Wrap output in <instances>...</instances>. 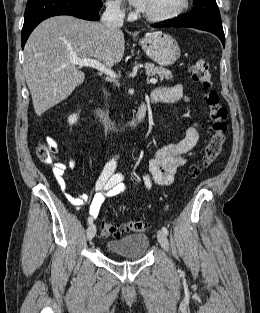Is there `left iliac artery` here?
I'll return each instance as SVG.
<instances>
[{
  "instance_id": "1",
  "label": "left iliac artery",
  "mask_w": 260,
  "mask_h": 313,
  "mask_svg": "<svg viewBox=\"0 0 260 313\" xmlns=\"http://www.w3.org/2000/svg\"><path fill=\"white\" fill-rule=\"evenodd\" d=\"M162 231L167 235L168 234V229L166 227H162Z\"/></svg>"
}]
</instances>
